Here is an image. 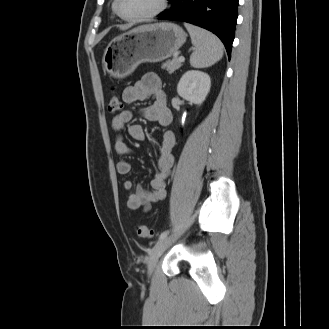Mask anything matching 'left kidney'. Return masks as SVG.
<instances>
[{
	"mask_svg": "<svg viewBox=\"0 0 329 329\" xmlns=\"http://www.w3.org/2000/svg\"><path fill=\"white\" fill-rule=\"evenodd\" d=\"M211 79L202 71H187L177 85L178 94L191 103L201 105L210 91Z\"/></svg>",
	"mask_w": 329,
	"mask_h": 329,
	"instance_id": "left-kidney-1",
	"label": "left kidney"
}]
</instances>
